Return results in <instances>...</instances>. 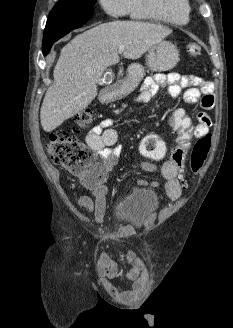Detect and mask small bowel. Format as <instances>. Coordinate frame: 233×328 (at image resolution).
Masks as SVG:
<instances>
[{"label":"small bowel","instance_id":"small-bowel-1","mask_svg":"<svg viewBox=\"0 0 233 328\" xmlns=\"http://www.w3.org/2000/svg\"><path fill=\"white\" fill-rule=\"evenodd\" d=\"M162 88H167L171 97L178 96L184 91V100L189 104L200 102L204 110H210L215 103L213 94V83L195 75H179L177 73L156 74L145 81L143 90L138 97V101H150ZM111 118L103 119L94 126L86 135L85 142L89 148L96 151L104 160V173L111 172L117 162L120 148L116 146L118 134L112 127ZM211 126L210 117L206 112L197 115V124L194 126L193 136L200 138L208 134ZM139 167L144 171H155L157 166L153 163L141 161ZM160 174L165 180V192L167 196L176 200L181 196V171L169 159L159 168ZM139 185H146L143 179L138 180ZM152 186L157 187L158 182H152ZM88 195L77 196L75 198L78 207L87 212H93L97 221H102L106 209L107 187L103 180L86 186ZM126 260L130 267L126 273V279L131 282L129 288L117 286L112 280L118 274V267L115 261L106 253L101 254L98 262L101 282L104 289L119 302H133L141 299L147 292L148 272L143 260L132 252H127Z\"/></svg>","mask_w":233,"mask_h":328}]
</instances>
